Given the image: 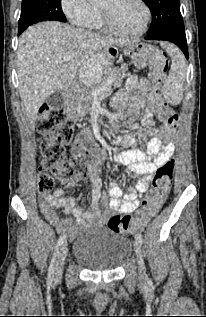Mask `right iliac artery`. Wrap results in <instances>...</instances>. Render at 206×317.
I'll return each mask as SVG.
<instances>
[{
  "mask_svg": "<svg viewBox=\"0 0 206 317\" xmlns=\"http://www.w3.org/2000/svg\"><path fill=\"white\" fill-rule=\"evenodd\" d=\"M65 239H66V235H65V234H62V235L59 237L58 241H57V245H56L55 251H54V253H53V258H52V260H51V263H50V266H49V269H48V276H47V282H48V283H51L52 280H53V277H54V263H55V258H56V256H57V253H58V251H59L61 245L64 243Z\"/></svg>",
  "mask_w": 206,
  "mask_h": 317,
  "instance_id": "1",
  "label": "right iliac artery"
}]
</instances>
